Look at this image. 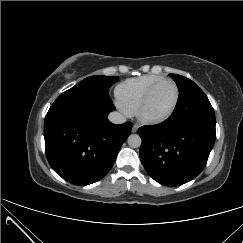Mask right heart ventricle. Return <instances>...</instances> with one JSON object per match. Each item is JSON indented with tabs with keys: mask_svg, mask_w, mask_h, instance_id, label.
Wrapping results in <instances>:
<instances>
[{
	"mask_svg": "<svg viewBox=\"0 0 243 243\" xmlns=\"http://www.w3.org/2000/svg\"><path fill=\"white\" fill-rule=\"evenodd\" d=\"M162 79L164 77L161 75L148 74L120 83L115 89V95L121 109L128 114L135 113L149 88Z\"/></svg>",
	"mask_w": 243,
	"mask_h": 243,
	"instance_id": "obj_1",
	"label": "right heart ventricle"
}]
</instances>
